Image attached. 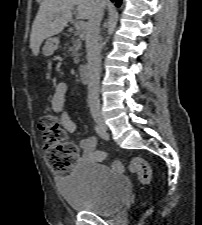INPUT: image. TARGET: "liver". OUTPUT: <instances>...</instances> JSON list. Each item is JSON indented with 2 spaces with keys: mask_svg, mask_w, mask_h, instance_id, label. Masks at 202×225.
<instances>
[{
  "mask_svg": "<svg viewBox=\"0 0 202 225\" xmlns=\"http://www.w3.org/2000/svg\"><path fill=\"white\" fill-rule=\"evenodd\" d=\"M96 0H43L32 25L30 48L37 56L42 42L59 34L72 19V10L77 8L78 19H89ZM103 4L105 6V1Z\"/></svg>",
  "mask_w": 202,
  "mask_h": 225,
  "instance_id": "6515ba94",
  "label": "liver"
}]
</instances>
